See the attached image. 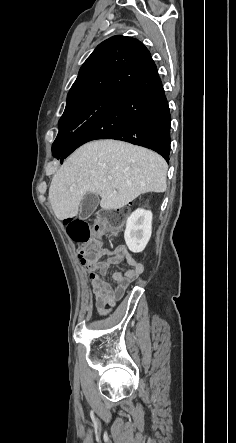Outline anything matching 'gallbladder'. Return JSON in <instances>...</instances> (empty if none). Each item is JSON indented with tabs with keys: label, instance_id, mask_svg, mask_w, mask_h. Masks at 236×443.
Masks as SVG:
<instances>
[{
	"label": "gallbladder",
	"instance_id": "obj_1",
	"mask_svg": "<svg viewBox=\"0 0 236 443\" xmlns=\"http://www.w3.org/2000/svg\"><path fill=\"white\" fill-rule=\"evenodd\" d=\"M99 196L94 193H86L80 204V217L87 219L96 210L99 205Z\"/></svg>",
	"mask_w": 236,
	"mask_h": 443
}]
</instances>
